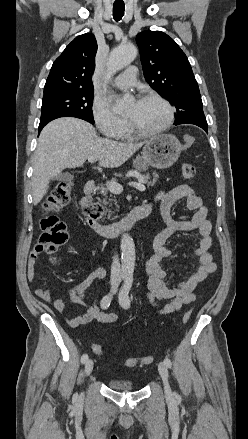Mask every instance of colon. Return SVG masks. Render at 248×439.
I'll list each match as a JSON object with an SVG mask.
<instances>
[{
  "label": "colon",
  "mask_w": 248,
  "mask_h": 439,
  "mask_svg": "<svg viewBox=\"0 0 248 439\" xmlns=\"http://www.w3.org/2000/svg\"><path fill=\"white\" fill-rule=\"evenodd\" d=\"M196 174V167L192 163H184L182 166V175L186 180H192ZM73 191V183L71 181L60 182L50 193L44 206L46 215L41 220L42 234L36 244L34 250L38 253H52L58 247L63 245L68 239L67 227L64 222L59 220L51 212L58 211L65 206ZM191 311H187L182 318L183 323H187L190 319ZM91 348L94 353L103 355V349L97 345L92 344ZM152 356H145L142 358H127L124 365L127 367H135L148 365L153 362Z\"/></svg>",
  "instance_id": "1"
}]
</instances>
